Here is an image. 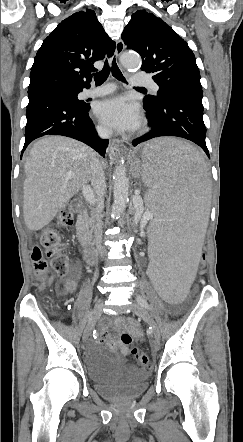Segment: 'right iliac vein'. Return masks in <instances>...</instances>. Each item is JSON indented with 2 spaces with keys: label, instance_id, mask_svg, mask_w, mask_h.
Listing matches in <instances>:
<instances>
[{
  "label": "right iliac vein",
  "instance_id": "1",
  "mask_svg": "<svg viewBox=\"0 0 243 442\" xmlns=\"http://www.w3.org/2000/svg\"><path fill=\"white\" fill-rule=\"evenodd\" d=\"M102 308H103V298H100L94 308H93V314L87 324V326L85 327L84 333H83V340L87 341L92 333V330L94 328V325L97 321V319L100 317L101 312H102Z\"/></svg>",
  "mask_w": 243,
  "mask_h": 442
}]
</instances>
